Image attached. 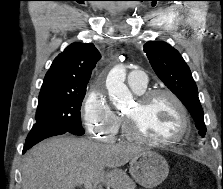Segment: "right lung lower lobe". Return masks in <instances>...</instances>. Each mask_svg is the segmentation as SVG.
Returning <instances> with one entry per match:
<instances>
[{
    "mask_svg": "<svg viewBox=\"0 0 223 189\" xmlns=\"http://www.w3.org/2000/svg\"><path fill=\"white\" fill-rule=\"evenodd\" d=\"M68 131L59 128H36L32 129L26 138V142L23 148L25 153L29 148L37 144L38 142L56 135L64 134Z\"/></svg>",
    "mask_w": 223,
    "mask_h": 189,
    "instance_id": "1",
    "label": "right lung lower lobe"
}]
</instances>
